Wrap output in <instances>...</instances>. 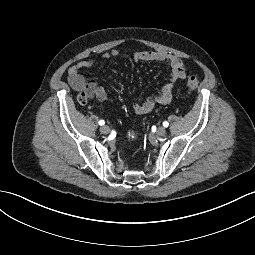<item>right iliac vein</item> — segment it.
<instances>
[{
	"instance_id": "obj_1",
	"label": "right iliac vein",
	"mask_w": 255,
	"mask_h": 255,
	"mask_svg": "<svg viewBox=\"0 0 255 255\" xmlns=\"http://www.w3.org/2000/svg\"><path fill=\"white\" fill-rule=\"evenodd\" d=\"M100 132H101L102 134H109V133H110V128H109V126H107V125L102 126V127L100 128Z\"/></svg>"
}]
</instances>
